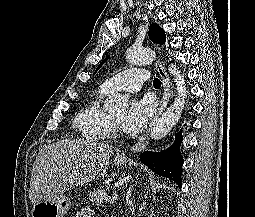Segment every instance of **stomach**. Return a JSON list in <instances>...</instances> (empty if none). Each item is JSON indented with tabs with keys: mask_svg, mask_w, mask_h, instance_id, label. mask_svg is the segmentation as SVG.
<instances>
[{
	"mask_svg": "<svg viewBox=\"0 0 255 217\" xmlns=\"http://www.w3.org/2000/svg\"><path fill=\"white\" fill-rule=\"evenodd\" d=\"M114 164L122 167L126 164L125 158L115 157ZM71 200L65 196L58 195L49 200H43L34 204L32 217H63L70 209Z\"/></svg>",
	"mask_w": 255,
	"mask_h": 217,
	"instance_id": "obj_1",
	"label": "stomach"
}]
</instances>
